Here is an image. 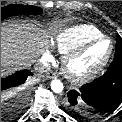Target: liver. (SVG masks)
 Listing matches in <instances>:
<instances>
[{
  "label": "liver",
  "instance_id": "liver-1",
  "mask_svg": "<svg viewBox=\"0 0 122 122\" xmlns=\"http://www.w3.org/2000/svg\"><path fill=\"white\" fill-rule=\"evenodd\" d=\"M50 32L34 22L1 26V76L28 68L45 51Z\"/></svg>",
  "mask_w": 122,
  "mask_h": 122
}]
</instances>
